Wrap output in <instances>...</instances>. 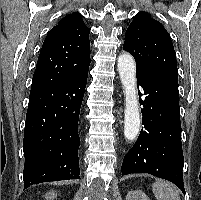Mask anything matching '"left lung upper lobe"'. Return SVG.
<instances>
[{"label": "left lung upper lobe", "mask_w": 201, "mask_h": 200, "mask_svg": "<svg viewBox=\"0 0 201 200\" xmlns=\"http://www.w3.org/2000/svg\"><path fill=\"white\" fill-rule=\"evenodd\" d=\"M123 48L135 58L136 73L178 75L170 35L146 12H139L129 25Z\"/></svg>", "instance_id": "1"}]
</instances>
